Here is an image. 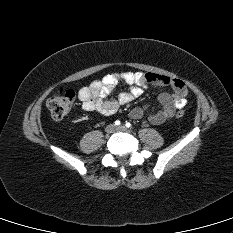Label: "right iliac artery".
Wrapping results in <instances>:
<instances>
[{"mask_svg": "<svg viewBox=\"0 0 233 233\" xmlns=\"http://www.w3.org/2000/svg\"><path fill=\"white\" fill-rule=\"evenodd\" d=\"M114 123H115V125H120V121L119 120H116Z\"/></svg>", "mask_w": 233, "mask_h": 233, "instance_id": "1", "label": "right iliac artery"}]
</instances>
